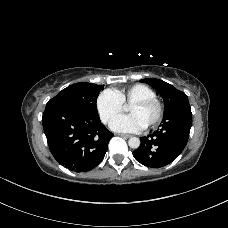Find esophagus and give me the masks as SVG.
Wrapping results in <instances>:
<instances>
[{"instance_id": "34e87169", "label": "esophagus", "mask_w": 228, "mask_h": 228, "mask_svg": "<svg viewBox=\"0 0 228 228\" xmlns=\"http://www.w3.org/2000/svg\"><path fill=\"white\" fill-rule=\"evenodd\" d=\"M118 135L121 136V137H124V138H130L131 137V135H129V134H123V133H120Z\"/></svg>"}]
</instances>
